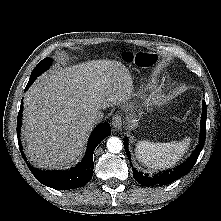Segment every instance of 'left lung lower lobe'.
Here are the masks:
<instances>
[{
    "label": "left lung lower lobe",
    "mask_w": 221,
    "mask_h": 221,
    "mask_svg": "<svg viewBox=\"0 0 221 221\" xmlns=\"http://www.w3.org/2000/svg\"><path fill=\"white\" fill-rule=\"evenodd\" d=\"M202 107H203V112L201 117V132H200L199 144L196 147L195 151L191 154L190 158L184 164L176 168H173L169 171L166 172L164 171L162 173L156 174L154 176H149L148 174L138 172L135 170V168H133V176L138 183L144 186L166 185L174 182L175 180L181 178L182 176L190 172L201 150L203 149L206 138L207 107L204 101ZM124 148L130 160L131 158L128 150L127 138H125L124 140Z\"/></svg>",
    "instance_id": "obj_1"
}]
</instances>
